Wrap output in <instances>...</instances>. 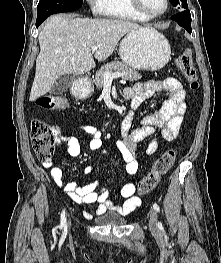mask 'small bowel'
I'll list each match as a JSON object with an SVG mask.
<instances>
[{
  "label": "small bowel",
  "instance_id": "small-bowel-1",
  "mask_svg": "<svg viewBox=\"0 0 221 263\" xmlns=\"http://www.w3.org/2000/svg\"><path fill=\"white\" fill-rule=\"evenodd\" d=\"M159 93H166L168 98L162 108L152 114L146 115L141 120L140 126L129 130L130 123L125 121L122 127V137L116 140V146L125 162L126 173L133 176L138 171L137 152L138 144L152 135L156 130L166 140H173L177 137L181 124L187 112L186 92L183 85L176 79L163 81L138 82L133 87L124 91L126 98L131 100L132 107H138L144 101L153 98ZM76 129L90 136L88 143L91 151H104L102 132L91 125H77ZM61 142L66 145L70 156L78 157L81 153V146L78 139L71 134L61 136ZM158 150V142L152 140L146 147L148 155H154ZM43 166L50 170L53 181L63 187L65 193L77 204H96V208L85 212L86 217L94 214L101 215L106 211H113L119 215L131 214L140 204L141 200L135 195V183H126L120 191L124 199L122 203H114L109 199L107 190L99 187L97 180L80 186L75 182L63 183L62 170L54 167L50 160L44 161ZM92 167L85 168L84 173L89 174Z\"/></svg>",
  "mask_w": 221,
  "mask_h": 263
}]
</instances>
